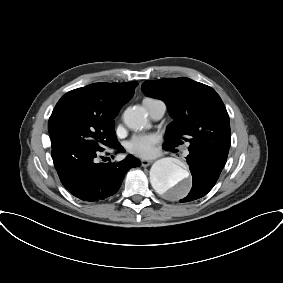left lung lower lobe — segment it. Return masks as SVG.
<instances>
[{
	"label": "left lung lower lobe",
	"instance_id": "left-lung-lower-lobe-1",
	"mask_svg": "<svg viewBox=\"0 0 283 283\" xmlns=\"http://www.w3.org/2000/svg\"><path fill=\"white\" fill-rule=\"evenodd\" d=\"M186 159L193 177V184L189 194L181 202L196 200L206 195L215 185L226 163L211 161L193 152H190Z\"/></svg>",
	"mask_w": 283,
	"mask_h": 283
}]
</instances>
